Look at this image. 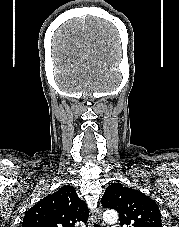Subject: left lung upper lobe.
Here are the masks:
<instances>
[{"instance_id": "5c2ea615", "label": "left lung upper lobe", "mask_w": 179, "mask_h": 227, "mask_svg": "<svg viewBox=\"0 0 179 227\" xmlns=\"http://www.w3.org/2000/svg\"><path fill=\"white\" fill-rule=\"evenodd\" d=\"M101 203L104 208L118 211L121 226L162 227L158 205L140 191L113 183L107 187Z\"/></svg>"}]
</instances>
